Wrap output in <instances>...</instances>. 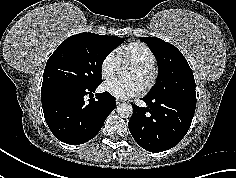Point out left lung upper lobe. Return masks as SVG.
Here are the masks:
<instances>
[{
  "label": "left lung upper lobe",
  "instance_id": "5c2ea615",
  "mask_svg": "<svg viewBox=\"0 0 236 178\" xmlns=\"http://www.w3.org/2000/svg\"><path fill=\"white\" fill-rule=\"evenodd\" d=\"M140 40L149 46L159 65L157 83L147 96L196 100L193 72L178 48L156 37Z\"/></svg>",
  "mask_w": 236,
  "mask_h": 178
}]
</instances>
